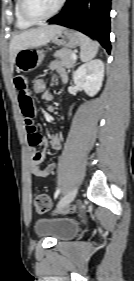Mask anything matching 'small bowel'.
Returning <instances> with one entry per match:
<instances>
[{
  "label": "small bowel",
  "instance_id": "small-bowel-1",
  "mask_svg": "<svg viewBox=\"0 0 134 281\" xmlns=\"http://www.w3.org/2000/svg\"><path fill=\"white\" fill-rule=\"evenodd\" d=\"M52 68L56 70L59 80L62 83H66L68 80L66 72L56 63L52 64ZM13 82L18 93V103L28 133V145L31 156L29 162L30 173L36 177L46 178L54 171L57 163L53 160L45 167L40 166V163L43 160V155L38 151V147L43 143V139L38 133L35 124L36 109L32 98L30 80L26 75L19 74L14 77ZM42 98L46 101H51L52 95L46 91L42 94ZM50 146L52 150L56 152L60 151L62 148L61 138L58 135H52L50 137Z\"/></svg>",
  "mask_w": 134,
  "mask_h": 281
}]
</instances>
